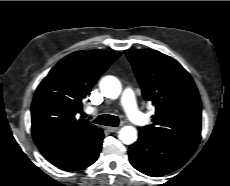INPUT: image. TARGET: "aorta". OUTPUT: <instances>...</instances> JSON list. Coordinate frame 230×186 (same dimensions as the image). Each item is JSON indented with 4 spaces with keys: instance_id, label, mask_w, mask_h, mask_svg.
I'll list each match as a JSON object with an SVG mask.
<instances>
[{
    "instance_id": "762f6f07",
    "label": "aorta",
    "mask_w": 230,
    "mask_h": 186,
    "mask_svg": "<svg viewBox=\"0 0 230 186\" xmlns=\"http://www.w3.org/2000/svg\"><path fill=\"white\" fill-rule=\"evenodd\" d=\"M100 90L108 98H117L121 93V83L114 76H105L100 81ZM119 139L126 145L133 144L137 140V130L133 126H124L119 130Z\"/></svg>"
}]
</instances>
